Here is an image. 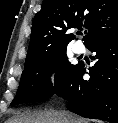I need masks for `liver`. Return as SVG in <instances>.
<instances>
[{"mask_svg":"<svg viewBox=\"0 0 118 123\" xmlns=\"http://www.w3.org/2000/svg\"><path fill=\"white\" fill-rule=\"evenodd\" d=\"M6 123H87V121L65 110H49L15 116Z\"/></svg>","mask_w":118,"mask_h":123,"instance_id":"1","label":"liver"}]
</instances>
